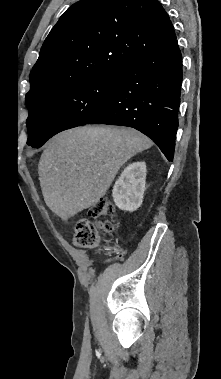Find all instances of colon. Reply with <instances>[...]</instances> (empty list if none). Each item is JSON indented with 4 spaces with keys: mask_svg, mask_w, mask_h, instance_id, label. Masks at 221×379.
<instances>
[{
    "mask_svg": "<svg viewBox=\"0 0 221 379\" xmlns=\"http://www.w3.org/2000/svg\"><path fill=\"white\" fill-rule=\"evenodd\" d=\"M114 214V205L109 200L98 201L91 209L93 218L111 217ZM118 226L114 219L105 221H93L87 218L79 219L75 225L73 242L81 248H89L97 245L103 233H111Z\"/></svg>",
    "mask_w": 221,
    "mask_h": 379,
    "instance_id": "5ec220e1",
    "label": "colon"
}]
</instances>
